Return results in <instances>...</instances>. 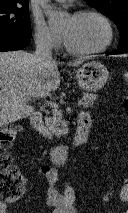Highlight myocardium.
<instances>
[{
  "label": "myocardium",
  "instance_id": "obj_1",
  "mask_svg": "<svg viewBox=\"0 0 128 213\" xmlns=\"http://www.w3.org/2000/svg\"><path fill=\"white\" fill-rule=\"evenodd\" d=\"M84 16H95V17L99 18L105 24L106 29H107L106 41L104 42L103 45H101L98 48L85 50V49H78V48L73 47L68 42L66 37L63 35L64 46H65L66 50L69 53H72V54H75V55H93V54H98V53L104 52L105 50H107L111 46V44L114 41V37H115L114 26H113L111 20L104 13H102L98 10H94V9L79 10V11H76L72 15L73 18H81V17H84Z\"/></svg>",
  "mask_w": 128,
  "mask_h": 213
}]
</instances>
